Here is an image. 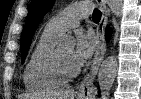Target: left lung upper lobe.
Returning <instances> with one entry per match:
<instances>
[{
  "label": "left lung upper lobe",
  "instance_id": "5c2ea615",
  "mask_svg": "<svg viewBox=\"0 0 141 99\" xmlns=\"http://www.w3.org/2000/svg\"><path fill=\"white\" fill-rule=\"evenodd\" d=\"M55 0H32L29 6L26 23L21 37L22 62H24L31 44L34 32L47 11L50 10Z\"/></svg>",
  "mask_w": 141,
  "mask_h": 99
}]
</instances>
